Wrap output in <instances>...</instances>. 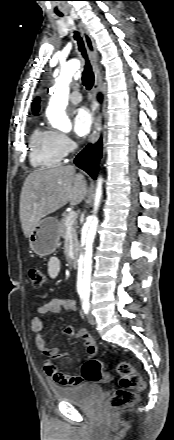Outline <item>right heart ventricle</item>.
Wrapping results in <instances>:
<instances>
[{
  "instance_id": "1",
  "label": "right heart ventricle",
  "mask_w": 174,
  "mask_h": 440,
  "mask_svg": "<svg viewBox=\"0 0 174 440\" xmlns=\"http://www.w3.org/2000/svg\"><path fill=\"white\" fill-rule=\"evenodd\" d=\"M30 150V162L34 167H55L63 160L52 131L35 129L30 138Z\"/></svg>"
}]
</instances>
